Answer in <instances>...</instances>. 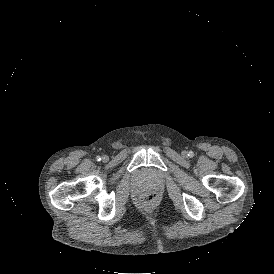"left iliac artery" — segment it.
Masks as SVG:
<instances>
[{
    "label": "left iliac artery",
    "instance_id": "44dca946",
    "mask_svg": "<svg viewBox=\"0 0 274 274\" xmlns=\"http://www.w3.org/2000/svg\"><path fill=\"white\" fill-rule=\"evenodd\" d=\"M188 156L193 157L194 156L193 151H189Z\"/></svg>",
    "mask_w": 274,
    "mask_h": 274
}]
</instances>
